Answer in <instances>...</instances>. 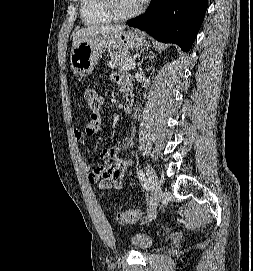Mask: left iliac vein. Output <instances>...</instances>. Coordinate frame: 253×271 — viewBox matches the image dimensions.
Listing matches in <instances>:
<instances>
[{"label":"left iliac vein","instance_id":"obj_1","mask_svg":"<svg viewBox=\"0 0 253 271\" xmlns=\"http://www.w3.org/2000/svg\"><path fill=\"white\" fill-rule=\"evenodd\" d=\"M148 180L150 183V213L149 216L152 217L157 209V206L163 196L161 183L153 170L148 173Z\"/></svg>","mask_w":253,"mask_h":271}]
</instances>
